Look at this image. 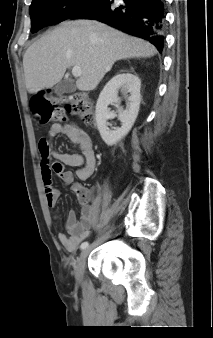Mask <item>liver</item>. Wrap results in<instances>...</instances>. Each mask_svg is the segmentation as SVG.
<instances>
[{"label": "liver", "mask_w": 213, "mask_h": 338, "mask_svg": "<svg viewBox=\"0 0 213 338\" xmlns=\"http://www.w3.org/2000/svg\"><path fill=\"white\" fill-rule=\"evenodd\" d=\"M157 49L147 41L91 20L69 21L34 42L25 52L23 67L29 93L59 83L70 67L82 70L80 91H92L121 59L149 58Z\"/></svg>", "instance_id": "1"}]
</instances>
